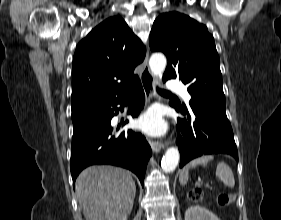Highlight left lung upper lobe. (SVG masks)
Wrapping results in <instances>:
<instances>
[{
  "instance_id": "left-lung-upper-lobe-1",
  "label": "left lung upper lobe",
  "mask_w": 281,
  "mask_h": 220,
  "mask_svg": "<svg viewBox=\"0 0 281 220\" xmlns=\"http://www.w3.org/2000/svg\"><path fill=\"white\" fill-rule=\"evenodd\" d=\"M149 43L152 51L168 58L163 80L179 77L189 85L190 106H225L219 56L205 25L187 15L166 12L154 21Z\"/></svg>"
}]
</instances>
